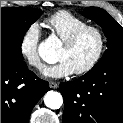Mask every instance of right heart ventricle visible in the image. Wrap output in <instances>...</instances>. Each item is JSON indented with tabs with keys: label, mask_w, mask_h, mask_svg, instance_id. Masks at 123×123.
I'll return each instance as SVG.
<instances>
[{
	"label": "right heart ventricle",
	"mask_w": 123,
	"mask_h": 123,
	"mask_svg": "<svg viewBox=\"0 0 123 123\" xmlns=\"http://www.w3.org/2000/svg\"><path fill=\"white\" fill-rule=\"evenodd\" d=\"M44 25L52 35L63 42L76 30L87 26L88 23L66 10H60L46 18Z\"/></svg>",
	"instance_id": "e07e8e85"
}]
</instances>
